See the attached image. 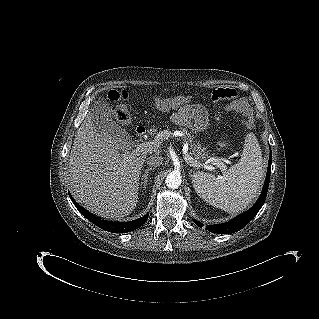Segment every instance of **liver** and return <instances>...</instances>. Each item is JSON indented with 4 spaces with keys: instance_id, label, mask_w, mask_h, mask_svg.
Instances as JSON below:
<instances>
[{
    "instance_id": "obj_1",
    "label": "liver",
    "mask_w": 319,
    "mask_h": 319,
    "mask_svg": "<svg viewBox=\"0 0 319 319\" xmlns=\"http://www.w3.org/2000/svg\"><path fill=\"white\" fill-rule=\"evenodd\" d=\"M92 118V113H88L75 134L69 156L71 191L92 213L121 218L131 214L138 202L146 153L121 154L115 141L97 132Z\"/></svg>"
}]
</instances>
